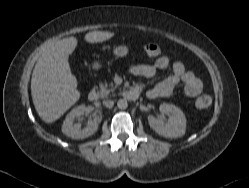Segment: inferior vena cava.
Masks as SVG:
<instances>
[{"label": "inferior vena cava", "instance_id": "1", "mask_svg": "<svg viewBox=\"0 0 249 188\" xmlns=\"http://www.w3.org/2000/svg\"><path fill=\"white\" fill-rule=\"evenodd\" d=\"M103 105L107 108H112L114 105V102L112 100H106V101H103Z\"/></svg>", "mask_w": 249, "mask_h": 188}]
</instances>
